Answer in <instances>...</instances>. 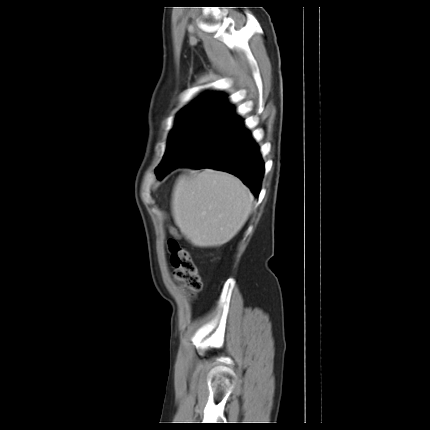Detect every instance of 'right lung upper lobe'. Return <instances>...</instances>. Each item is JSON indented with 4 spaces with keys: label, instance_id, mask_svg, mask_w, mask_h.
Wrapping results in <instances>:
<instances>
[{
    "label": "right lung upper lobe",
    "instance_id": "obj_1",
    "mask_svg": "<svg viewBox=\"0 0 430 430\" xmlns=\"http://www.w3.org/2000/svg\"><path fill=\"white\" fill-rule=\"evenodd\" d=\"M206 106H225L230 107L225 102V96L218 93H208L200 96L193 104L187 109H194Z\"/></svg>",
    "mask_w": 430,
    "mask_h": 430
}]
</instances>
